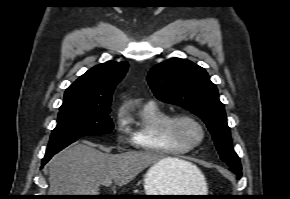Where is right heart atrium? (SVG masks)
Returning a JSON list of instances; mask_svg holds the SVG:
<instances>
[{
	"mask_svg": "<svg viewBox=\"0 0 290 199\" xmlns=\"http://www.w3.org/2000/svg\"><path fill=\"white\" fill-rule=\"evenodd\" d=\"M115 123H116V128L118 131L119 139L123 141L125 138L126 131H127V123H126L125 116L121 112L117 114Z\"/></svg>",
	"mask_w": 290,
	"mask_h": 199,
	"instance_id": "right-heart-atrium-1",
	"label": "right heart atrium"
}]
</instances>
